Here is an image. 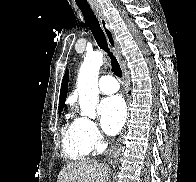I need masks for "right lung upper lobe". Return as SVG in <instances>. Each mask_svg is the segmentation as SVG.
<instances>
[{"mask_svg":"<svg viewBox=\"0 0 196 182\" xmlns=\"http://www.w3.org/2000/svg\"><path fill=\"white\" fill-rule=\"evenodd\" d=\"M67 85H68V71H66L61 85L60 98H59V112L63 109L65 105Z\"/></svg>","mask_w":196,"mask_h":182,"instance_id":"1","label":"right lung upper lobe"}]
</instances>
